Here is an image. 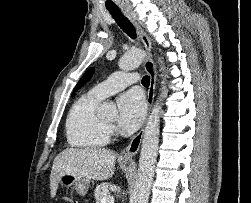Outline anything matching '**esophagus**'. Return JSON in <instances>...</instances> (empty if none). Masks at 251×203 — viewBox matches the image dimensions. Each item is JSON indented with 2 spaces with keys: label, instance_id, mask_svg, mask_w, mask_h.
Returning a JSON list of instances; mask_svg holds the SVG:
<instances>
[{
  "label": "esophagus",
  "instance_id": "1",
  "mask_svg": "<svg viewBox=\"0 0 251 203\" xmlns=\"http://www.w3.org/2000/svg\"><path fill=\"white\" fill-rule=\"evenodd\" d=\"M122 11H123V14L130 20V22L136 28L147 52V56L144 62V67H145L146 72L150 76V86H149L148 94H147V102L150 109L154 102L156 79H157L156 66L153 60L151 59V49H152L151 41L148 35L146 34V32L142 29V27L137 22L136 18L128 10L123 9ZM143 133H144V129H141L140 132L131 140L129 145L121 152L120 154L121 159L130 160L137 154V152L139 151L141 142H142Z\"/></svg>",
  "mask_w": 251,
  "mask_h": 203
}]
</instances>
